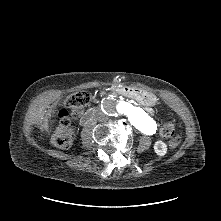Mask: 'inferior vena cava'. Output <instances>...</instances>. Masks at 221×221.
I'll return each mask as SVG.
<instances>
[{
	"label": "inferior vena cava",
	"mask_w": 221,
	"mask_h": 221,
	"mask_svg": "<svg viewBox=\"0 0 221 221\" xmlns=\"http://www.w3.org/2000/svg\"><path fill=\"white\" fill-rule=\"evenodd\" d=\"M107 119H108V117L105 114H103V113L97 114V120L106 121Z\"/></svg>",
	"instance_id": "obj_1"
}]
</instances>
